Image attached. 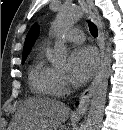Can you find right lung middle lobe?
<instances>
[{
  "instance_id": "1",
  "label": "right lung middle lobe",
  "mask_w": 123,
  "mask_h": 130,
  "mask_svg": "<svg viewBox=\"0 0 123 130\" xmlns=\"http://www.w3.org/2000/svg\"><path fill=\"white\" fill-rule=\"evenodd\" d=\"M27 55L26 56H22V63H24V61L26 60Z\"/></svg>"
}]
</instances>
